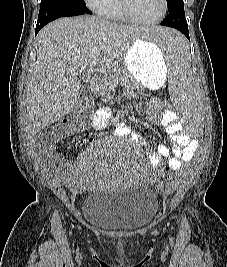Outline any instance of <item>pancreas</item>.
Wrapping results in <instances>:
<instances>
[{"label":"pancreas","instance_id":"obj_1","mask_svg":"<svg viewBox=\"0 0 227 267\" xmlns=\"http://www.w3.org/2000/svg\"><path fill=\"white\" fill-rule=\"evenodd\" d=\"M128 86L130 84L138 85L133 77L124 69H115L109 71L99 85L100 95L109 97L117 85Z\"/></svg>","mask_w":227,"mask_h":267}]
</instances>
